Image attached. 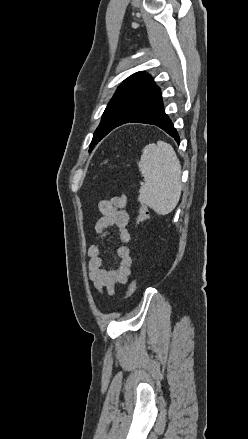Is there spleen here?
Here are the masks:
<instances>
[{
  "instance_id": "1",
  "label": "spleen",
  "mask_w": 248,
  "mask_h": 439,
  "mask_svg": "<svg viewBox=\"0 0 248 439\" xmlns=\"http://www.w3.org/2000/svg\"><path fill=\"white\" fill-rule=\"evenodd\" d=\"M138 166L144 177L138 200L158 215L172 212L182 191L181 164L173 147L164 141L145 146Z\"/></svg>"
}]
</instances>
